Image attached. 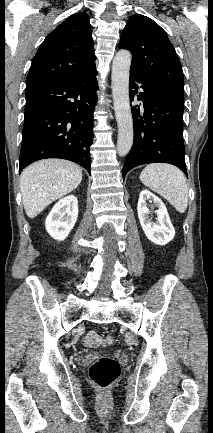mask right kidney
Masks as SVG:
<instances>
[{
	"label": "right kidney",
	"mask_w": 213,
	"mask_h": 433,
	"mask_svg": "<svg viewBox=\"0 0 213 433\" xmlns=\"http://www.w3.org/2000/svg\"><path fill=\"white\" fill-rule=\"evenodd\" d=\"M78 217V200L74 195L61 199L46 218L47 232L56 240H64L73 229Z\"/></svg>",
	"instance_id": "right-kidney-1"
}]
</instances>
